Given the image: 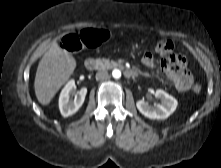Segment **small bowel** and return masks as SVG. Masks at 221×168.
Listing matches in <instances>:
<instances>
[{
  "label": "small bowel",
  "mask_w": 221,
  "mask_h": 168,
  "mask_svg": "<svg viewBox=\"0 0 221 168\" xmlns=\"http://www.w3.org/2000/svg\"><path fill=\"white\" fill-rule=\"evenodd\" d=\"M161 55L164 56L161 62V68L171 80L175 89L180 92L189 90L192 86L193 79L189 73L185 58L178 53H171L167 56L164 54ZM142 63L152 68L154 66V57L152 53L146 52L142 57Z\"/></svg>",
  "instance_id": "c3829d8e"
}]
</instances>
